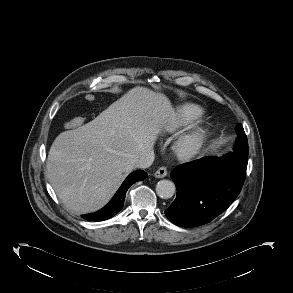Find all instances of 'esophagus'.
<instances>
[{"label": "esophagus", "instance_id": "34e87169", "mask_svg": "<svg viewBox=\"0 0 293 293\" xmlns=\"http://www.w3.org/2000/svg\"><path fill=\"white\" fill-rule=\"evenodd\" d=\"M167 174H168L167 168L166 167H160L154 173V176L156 178H164L165 176H167Z\"/></svg>", "mask_w": 293, "mask_h": 293}]
</instances>
